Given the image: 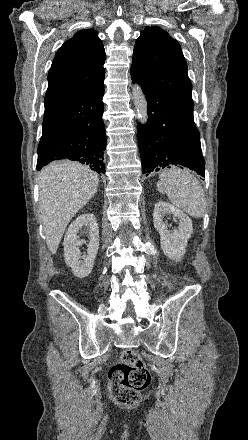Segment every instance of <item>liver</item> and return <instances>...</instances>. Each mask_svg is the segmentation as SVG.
<instances>
[{
  "mask_svg": "<svg viewBox=\"0 0 248 440\" xmlns=\"http://www.w3.org/2000/svg\"><path fill=\"white\" fill-rule=\"evenodd\" d=\"M38 184L46 243L55 254L70 220L96 193L99 178L78 162L56 161L42 169Z\"/></svg>",
  "mask_w": 248,
  "mask_h": 440,
  "instance_id": "6515ba94",
  "label": "liver"
}]
</instances>
